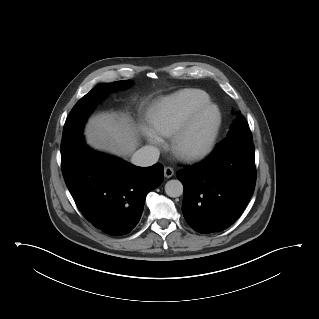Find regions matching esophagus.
<instances>
[{
	"label": "esophagus",
	"instance_id": "esophagus-1",
	"mask_svg": "<svg viewBox=\"0 0 319 319\" xmlns=\"http://www.w3.org/2000/svg\"><path fill=\"white\" fill-rule=\"evenodd\" d=\"M164 175L166 178H170L174 175V170L171 167L164 168Z\"/></svg>",
	"mask_w": 319,
	"mask_h": 319
}]
</instances>
